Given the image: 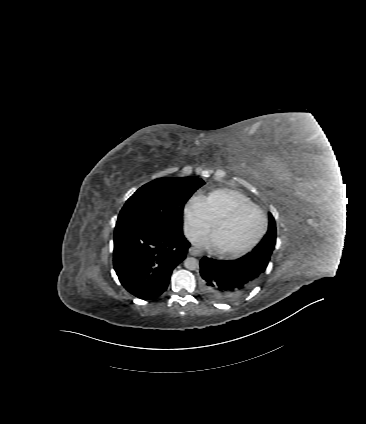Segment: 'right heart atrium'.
Instances as JSON below:
<instances>
[{
  "mask_svg": "<svg viewBox=\"0 0 366 424\" xmlns=\"http://www.w3.org/2000/svg\"><path fill=\"white\" fill-rule=\"evenodd\" d=\"M182 217L184 232L190 241L205 236L212 225L200 196H192L185 202L182 208Z\"/></svg>",
  "mask_w": 366,
  "mask_h": 424,
  "instance_id": "right-heart-atrium-1",
  "label": "right heart atrium"
}]
</instances>
